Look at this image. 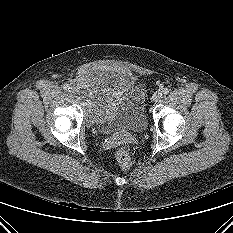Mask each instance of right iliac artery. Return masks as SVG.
<instances>
[{
  "label": "right iliac artery",
  "instance_id": "right-iliac-artery-1",
  "mask_svg": "<svg viewBox=\"0 0 233 233\" xmlns=\"http://www.w3.org/2000/svg\"><path fill=\"white\" fill-rule=\"evenodd\" d=\"M63 89H64V90H69V89H70V88H69V85H68V84L63 85Z\"/></svg>",
  "mask_w": 233,
  "mask_h": 233
}]
</instances>
